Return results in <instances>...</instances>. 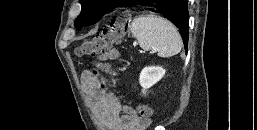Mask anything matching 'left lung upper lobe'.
<instances>
[{
  "mask_svg": "<svg viewBox=\"0 0 257 130\" xmlns=\"http://www.w3.org/2000/svg\"><path fill=\"white\" fill-rule=\"evenodd\" d=\"M134 0H80L82 7L81 14L75 20V27L80 30L97 22L104 14L111 9L123 4H134Z\"/></svg>",
  "mask_w": 257,
  "mask_h": 130,
  "instance_id": "left-lung-upper-lobe-1",
  "label": "left lung upper lobe"
}]
</instances>
